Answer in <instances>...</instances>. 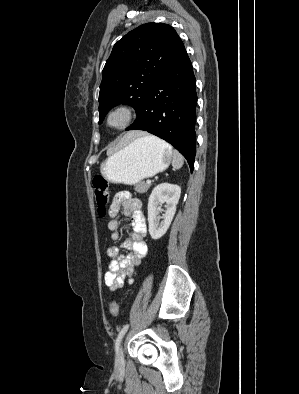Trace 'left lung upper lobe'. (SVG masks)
Here are the masks:
<instances>
[{
	"label": "left lung upper lobe",
	"instance_id": "5c2ea615",
	"mask_svg": "<svg viewBox=\"0 0 299 394\" xmlns=\"http://www.w3.org/2000/svg\"><path fill=\"white\" fill-rule=\"evenodd\" d=\"M184 49L175 29L164 23L143 24L116 42L102 72L99 124L120 103L138 111L153 82Z\"/></svg>",
	"mask_w": 299,
	"mask_h": 394
}]
</instances>
